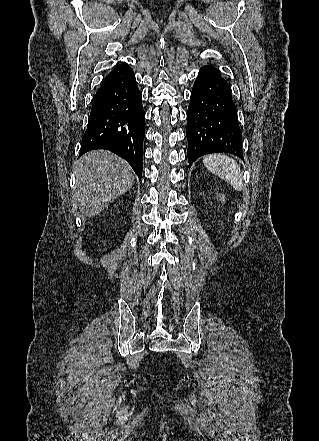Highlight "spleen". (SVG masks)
Masks as SVG:
<instances>
[{
  "label": "spleen",
  "instance_id": "spleen-1",
  "mask_svg": "<svg viewBox=\"0 0 319 441\" xmlns=\"http://www.w3.org/2000/svg\"><path fill=\"white\" fill-rule=\"evenodd\" d=\"M204 165L213 174L229 183L234 189L241 191L243 178L241 170L232 158L221 154L207 155L203 158Z\"/></svg>",
  "mask_w": 319,
  "mask_h": 441
}]
</instances>
